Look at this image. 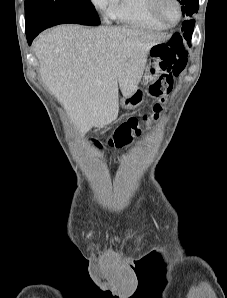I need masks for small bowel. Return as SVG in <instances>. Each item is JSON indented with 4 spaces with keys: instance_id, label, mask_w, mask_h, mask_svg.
<instances>
[{
    "instance_id": "small-bowel-1",
    "label": "small bowel",
    "mask_w": 227,
    "mask_h": 298,
    "mask_svg": "<svg viewBox=\"0 0 227 298\" xmlns=\"http://www.w3.org/2000/svg\"><path fill=\"white\" fill-rule=\"evenodd\" d=\"M96 144L97 147H104L105 146V140L104 139H87L86 140V146L87 147H94ZM100 158H105L106 154L105 153H100L99 154Z\"/></svg>"
}]
</instances>
